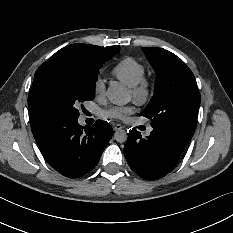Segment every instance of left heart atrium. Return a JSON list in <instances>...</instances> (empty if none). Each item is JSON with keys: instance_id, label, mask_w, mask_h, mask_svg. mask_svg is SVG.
<instances>
[{"instance_id": "1", "label": "left heart atrium", "mask_w": 233, "mask_h": 233, "mask_svg": "<svg viewBox=\"0 0 233 233\" xmlns=\"http://www.w3.org/2000/svg\"><path fill=\"white\" fill-rule=\"evenodd\" d=\"M134 112V106L129 105L126 107L113 108L110 111L104 113V116L113 117L116 119H125L128 115Z\"/></svg>"}]
</instances>
